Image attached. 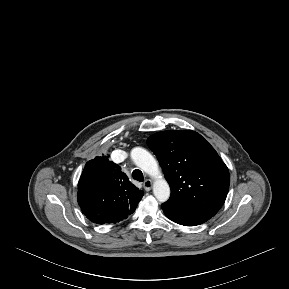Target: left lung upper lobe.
<instances>
[{
    "mask_svg": "<svg viewBox=\"0 0 289 289\" xmlns=\"http://www.w3.org/2000/svg\"><path fill=\"white\" fill-rule=\"evenodd\" d=\"M171 189L167 202L214 216L225 202L230 175L214 148L192 130L158 132L147 140Z\"/></svg>",
    "mask_w": 289,
    "mask_h": 289,
    "instance_id": "left-lung-upper-lobe-1",
    "label": "left lung upper lobe"
}]
</instances>
